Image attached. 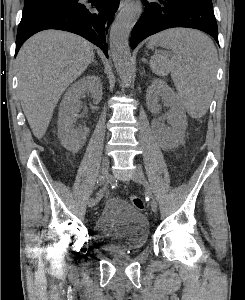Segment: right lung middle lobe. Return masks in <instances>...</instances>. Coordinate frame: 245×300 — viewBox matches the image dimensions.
I'll return each mask as SVG.
<instances>
[{
  "instance_id": "right-lung-middle-lobe-1",
  "label": "right lung middle lobe",
  "mask_w": 245,
  "mask_h": 300,
  "mask_svg": "<svg viewBox=\"0 0 245 300\" xmlns=\"http://www.w3.org/2000/svg\"><path fill=\"white\" fill-rule=\"evenodd\" d=\"M76 0H34L24 2L23 15Z\"/></svg>"
}]
</instances>
